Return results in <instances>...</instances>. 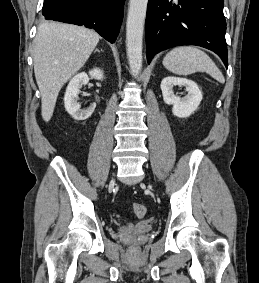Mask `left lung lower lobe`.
Segmentation results:
<instances>
[{
	"mask_svg": "<svg viewBox=\"0 0 259 283\" xmlns=\"http://www.w3.org/2000/svg\"><path fill=\"white\" fill-rule=\"evenodd\" d=\"M223 0H149L146 16L147 61L158 52L197 45L215 52L228 67Z\"/></svg>",
	"mask_w": 259,
	"mask_h": 283,
	"instance_id": "1",
	"label": "left lung lower lobe"
}]
</instances>
